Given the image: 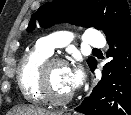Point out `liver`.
Listing matches in <instances>:
<instances>
[{
  "label": "liver",
  "mask_w": 131,
  "mask_h": 115,
  "mask_svg": "<svg viewBox=\"0 0 131 115\" xmlns=\"http://www.w3.org/2000/svg\"><path fill=\"white\" fill-rule=\"evenodd\" d=\"M15 115H54L52 112L45 111L34 106H19L13 111Z\"/></svg>",
  "instance_id": "obj_1"
}]
</instances>
